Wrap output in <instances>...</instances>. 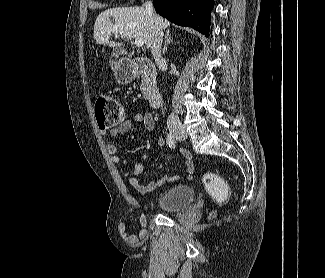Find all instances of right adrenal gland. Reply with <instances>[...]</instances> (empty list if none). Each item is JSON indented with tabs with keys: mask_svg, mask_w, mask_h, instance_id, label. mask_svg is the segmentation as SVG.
<instances>
[{
	"mask_svg": "<svg viewBox=\"0 0 325 278\" xmlns=\"http://www.w3.org/2000/svg\"><path fill=\"white\" fill-rule=\"evenodd\" d=\"M173 42V39L170 36V29H167L166 35H165V43L162 52L165 53L167 51V46L169 43Z\"/></svg>",
	"mask_w": 325,
	"mask_h": 278,
	"instance_id": "2a0ac1e0",
	"label": "right adrenal gland"
}]
</instances>
